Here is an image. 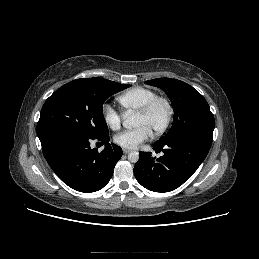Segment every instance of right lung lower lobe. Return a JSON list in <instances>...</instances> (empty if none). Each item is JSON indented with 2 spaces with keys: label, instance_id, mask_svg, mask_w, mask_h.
I'll use <instances>...</instances> for the list:
<instances>
[{
  "label": "right lung lower lobe",
  "instance_id": "1",
  "mask_svg": "<svg viewBox=\"0 0 259 259\" xmlns=\"http://www.w3.org/2000/svg\"><path fill=\"white\" fill-rule=\"evenodd\" d=\"M92 140L105 143L100 153L91 149ZM43 154L56 175L79 192H95L111 179L122 156L121 147L109 143V136L92 138L74 132H55L40 139Z\"/></svg>",
  "mask_w": 259,
  "mask_h": 259
}]
</instances>
